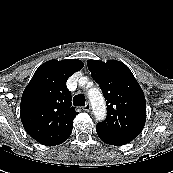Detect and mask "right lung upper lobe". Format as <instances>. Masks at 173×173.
Instances as JSON below:
<instances>
[{"instance_id":"obj_1","label":"right lung upper lobe","mask_w":173,"mask_h":173,"mask_svg":"<svg viewBox=\"0 0 173 173\" xmlns=\"http://www.w3.org/2000/svg\"><path fill=\"white\" fill-rule=\"evenodd\" d=\"M83 66L77 59L47 61L38 67L25 88L21 121L26 132L39 143L53 146L72 131L78 113L71 105L66 82Z\"/></svg>"}]
</instances>
